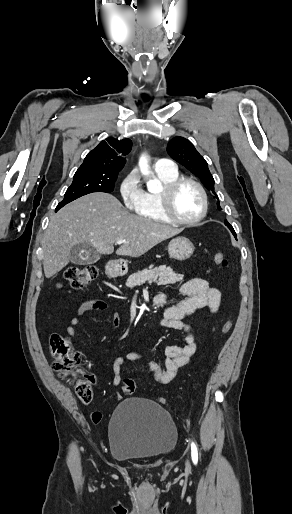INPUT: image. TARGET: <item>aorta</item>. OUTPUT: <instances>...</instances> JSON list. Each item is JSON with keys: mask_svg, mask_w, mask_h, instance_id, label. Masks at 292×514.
I'll use <instances>...</instances> for the list:
<instances>
[{"mask_svg": "<svg viewBox=\"0 0 292 514\" xmlns=\"http://www.w3.org/2000/svg\"><path fill=\"white\" fill-rule=\"evenodd\" d=\"M139 168H140L141 174H143V176H148V174H150L149 166L147 164L146 158H140ZM157 184H158V180H150V182H147V186H148L149 190H151V188H155V186H157Z\"/></svg>", "mask_w": 292, "mask_h": 514, "instance_id": "1", "label": "aorta"}]
</instances>
